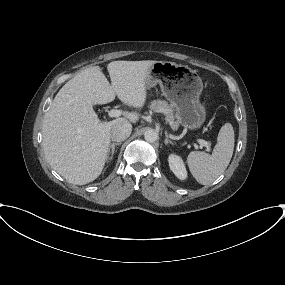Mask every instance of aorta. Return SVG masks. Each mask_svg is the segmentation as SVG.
Instances as JSON below:
<instances>
[{
	"instance_id": "aorta-1",
	"label": "aorta",
	"mask_w": 285,
	"mask_h": 285,
	"mask_svg": "<svg viewBox=\"0 0 285 285\" xmlns=\"http://www.w3.org/2000/svg\"><path fill=\"white\" fill-rule=\"evenodd\" d=\"M144 138L147 142L153 143L158 139V134L153 129H148L144 133Z\"/></svg>"
}]
</instances>
